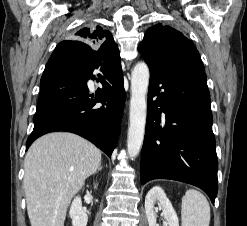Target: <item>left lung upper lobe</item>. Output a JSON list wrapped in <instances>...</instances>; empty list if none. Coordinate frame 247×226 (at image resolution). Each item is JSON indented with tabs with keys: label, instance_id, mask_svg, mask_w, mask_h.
<instances>
[{
	"label": "left lung upper lobe",
	"instance_id": "5c2ea615",
	"mask_svg": "<svg viewBox=\"0 0 247 226\" xmlns=\"http://www.w3.org/2000/svg\"><path fill=\"white\" fill-rule=\"evenodd\" d=\"M149 66L168 72L183 68L204 70L201 57L193 44L176 29L157 24L149 28L138 47Z\"/></svg>",
	"mask_w": 247,
	"mask_h": 226
}]
</instances>
